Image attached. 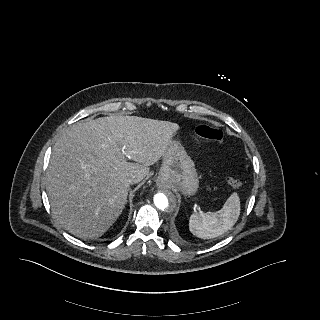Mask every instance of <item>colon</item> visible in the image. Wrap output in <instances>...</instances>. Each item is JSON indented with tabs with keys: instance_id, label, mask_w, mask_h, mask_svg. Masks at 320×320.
Here are the masks:
<instances>
[{
	"instance_id": "1",
	"label": "colon",
	"mask_w": 320,
	"mask_h": 320,
	"mask_svg": "<svg viewBox=\"0 0 320 320\" xmlns=\"http://www.w3.org/2000/svg\"><path fill=\"white\" fill-rule=\"evenodd\" d=\"M195 133L200 138L206 139L212 143L219 144L223 140V131L217 127L199 123L195 126ZM227 183L232 187H240L241 181L239 179L228 177Z\"/></svg>"
}]
</instances>
